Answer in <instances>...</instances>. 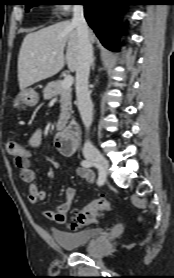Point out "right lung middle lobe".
Returning a JSON list of instances; mask_svg holds the SVG:
<instances>
[{
    "mask_svg": "<svg viewBox=\"0 0 174 278\" xmlns=\"http://www.w3.org/2000/svg\"><path fill=\"white\" fill-rule=\"evenodd\" d=\"M40 0H27V3L25 4L26 6V11H28L32 6H36V5H39V2Z\"/></svg>",
    "mask_w": 174,
    "mask_h": 278,
    "instance_id": "right-lung-middle-lobe-1",
    "label": "right lung middle lobe"
}]
</instances>
